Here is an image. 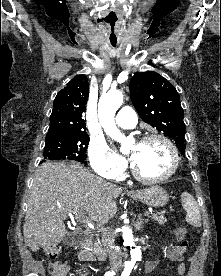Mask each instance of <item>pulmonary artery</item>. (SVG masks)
Wrapping results in <instances>:
<instances>
[{
	"instance_id": "obj_1",
	"label": "pulmonary artery",
	"mask_w": 221,
	"mask_h": 276,
	"mask_svg": "<svg viewBox=\"0 0 221 276\" xmlns=\"http://www.w3.org/2000/svg\"><path fill=\"white\" fill-rule=\"evenodd\" d=\"M115 122L122 128H133L137 124V115L131 107H123L117 113Z\"/></svg>"
}]
</instances>
